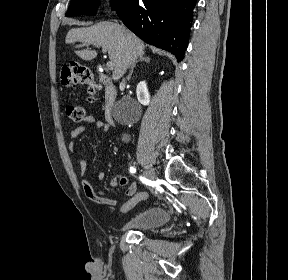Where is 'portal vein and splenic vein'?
I'll return each mask as SVG.
<instances>
[{
	"mask_svg": "<svg viewBox=\"0 0 288 280\" xmlns=\"http://www.w3.org/2000/svg\"><path fill=\"white\" fill-rule=\"evenodd\" d=\"M103 53H106V49L102 48ZM107 68L112 70L113 69V63L112 62H107L106 63Z\"/></svg>",
	"mask_w": 288,
	"mask_h": 280,
	"instance_id": "18ae733b",
	"label": "portal vein and splenic vein"
}]
</instances>
